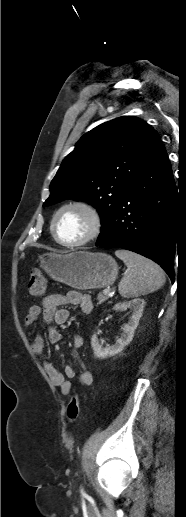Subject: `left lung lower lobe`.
<instances>
[{"mask_svg":"<svg viewBox=\"0 0 186 517\" xmlns=\"http://www.w3.org/2000/svg\"><path fill=\"white\" fill-rule=\"evenodd\" d=\"M177 188L163 145L130 184L97 246L127 249L158 263L172 282L177 238Z\"/></svg>","mask_w":186,"mask_h":517,"instance_id":"1","label":"left lung lower lobe"}]
</instances>
